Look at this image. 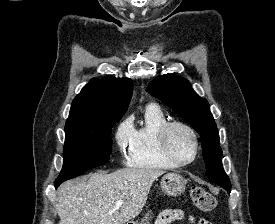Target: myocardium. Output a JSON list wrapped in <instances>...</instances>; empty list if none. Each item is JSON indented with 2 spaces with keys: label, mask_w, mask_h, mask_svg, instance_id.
Here are the masks:
<instances>
[{
  "label": "myocardium",
  "mask_w": 275,
  "mask_h": 224,
  "mask_svg": "<svg viewBox=\"0 0 275 224\" xmlns=\"http://www.w3.org/2000/svg\"><path fill=\"white\" fill-rule=\"evenodd\" d=\"M181 128L187 131L194 142V154L188 160H180L171 151L169 146V137L173 129ZM158 145L162 155L177 167H184L193 163L200 153V142L197 132L187 123L181 121H170L163 125L158 134Z\"/></svg>",
  "instance_id": "obj_1"
}]
</instances>
